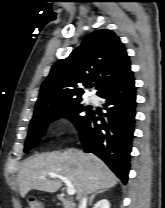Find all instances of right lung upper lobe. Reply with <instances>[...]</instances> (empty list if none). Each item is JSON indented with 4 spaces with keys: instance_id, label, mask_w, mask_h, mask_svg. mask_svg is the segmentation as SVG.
I'll return each mask as SVG.
<instances>
[{
    "instance_id": "cb5924a9",
    "label": "right lung upper lobe",
    "mask_w": 165,
    "mask_h": 208,
    "mask_svg": "<svg viewBox=\"0 0 165 208\" xmlns=\"http://www.w3.org/2000/svg\"><path fill=\"white\" fill-rule=\"evenodd\" d=\"M131 73L123 43L108 29L94 31L69 57L56 62L43 82L35 112L47 106L82 99L81 86L96 85L97 95Z\"/></svg>"
}]
</instances>
